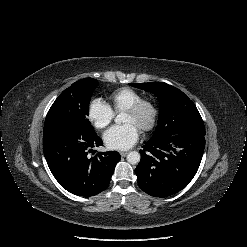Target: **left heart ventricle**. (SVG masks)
<instances>
[{
    "mask_svg": "<svg viewBox=\"0 0 247 247\" xmlns=\"http://www.w3.org/2000/svg\"><path fill=\"white\" fill-rule=\"evenodd\" d=\"M149 115L150 111L148 108H144L142 112L138 114L125 111L122 120L124 123H133L136 126L140 127L141 124H143L149 118Z\"/></svg>",
    "mask_w": 247,
    "mask_h": 247,
    "instance_id": "obj_1",
    "label": "left heart ventricle"
}]
</instances>
